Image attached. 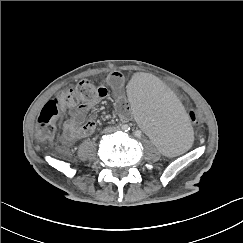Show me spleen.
<instances>
[{
  "mask_svg": "<svg viewBox=\"0 0 243 243\" xmlns=\"http://www.w3.org/2000/svg\"><path fill=\"white\" fill-rule=\"evenodd\" d=\"M128 99L134 122L162 153L177 155L191 145L193 128L176 97L159 76L144 74L130 84Z\"/></svg>",
  "mask_w": 243,
  "mask_h": 243,
  "instance_id": "spleen-1",
  "label": "spleen"
}]
</instances>
